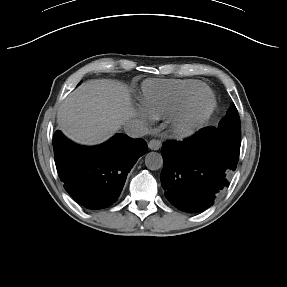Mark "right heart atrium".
Masks as SVG:
<instances>
[{
    "instance_id": "d8ad5b80",
    "label": "right heart atrium",
    "mask_w": 287,
    "mask_h": 287,
    "mask_svg": "<svg viewBox=\"0 0 287 287\" xmlns=\"http://www.w3.org/2000/svg\"><path fill=\"white\" fill-rule=\"evenodd\" d=\"M140 117L143 118L144 120H149L151 117L144 111L141 110L139 113Z\"/></svg>"
}]
</instances>
